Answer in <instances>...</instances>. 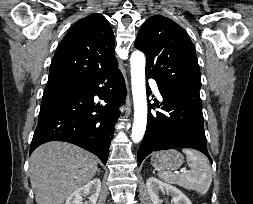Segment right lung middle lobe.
Returning a JSON list of instances; mask_svg holds the SVG:
<instances>
[{
  "mask_svg": "<svg viewBox=\"0 0 253 204\" xmlns=\"http://www.w3.org/2000/svg\"><path fill=\"white\" fill-rule=\"evenodd\" d=\"M76 85L77 83L66 82V81L47 82L43 95L65 91V90L75 87Z\"/></svg>",
  "mask_w": 253,
  "mask_h": 204,
  "instance_id": "obj_1",
  "label": "right lung middle lobe"
}]
</instances>
